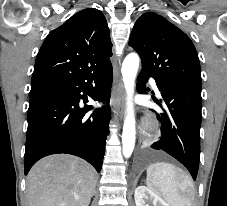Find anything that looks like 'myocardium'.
<instances>
[{"instance_id":"f54148a6","label":"myocardium","mask_w":227,"mask_h":206,"mask_svg":"<svg viewBox=\"0 0 227 206\" xmlns=\"http://www.w3.org/2000/svg\"><path fill=\"white\" fill-rule=\"evenodd\" d=\"M147 129H148L149 131H152V130L154 129V123H153L152 121H149V122L147 123Z\"/></svg>"}]
</instances>
